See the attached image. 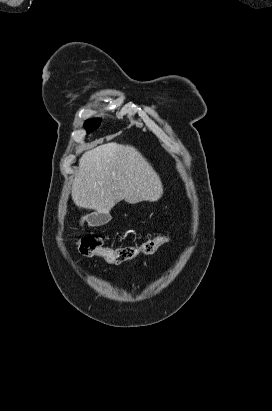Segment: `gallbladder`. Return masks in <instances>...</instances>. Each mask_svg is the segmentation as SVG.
<instances>
[{"mask_svg":"<svg viewBox=\"0 0 272 411\" xmlns=\"http://www.w3.org/2000/svg\"><path fill=\"white\" fill-rule=\"evenodd\" d=\"M110 220V216L108 214L102 213H91L87 216V222L90 226H102L108 223Z\"/></svg>","mask_w":272,"mask_h":411,"instance_id":"1","label":"gallbladder"}]
</instances>
